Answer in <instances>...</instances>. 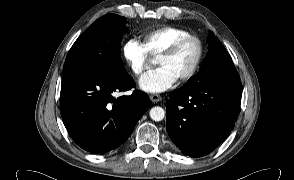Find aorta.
<instances>
[{"instance_id": "1", "label": "aorta", "mask_w": 294, "mask_h": 180, "mask_svg": "<svg viewBox=\"0 0 294 180\" xmlns=\"http://www.w3.org/2000/svg\"><path fill=\"white\" fill-rule=\"evenodd\" d=\"M149 115L152 120L158 122V121L163 120V118L165 117V111L162 107L155 106V107L151 108Z\"/></svg>"}]
</instances>
